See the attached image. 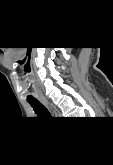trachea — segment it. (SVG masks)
I'll return each instance as SVG.
<instances>
[{"label":"trachea","instance_id":"obj_1","mask_svg":"<svg viewBox=\"0 0 113 165\" xmlns=\"http://www.w3.org/2000/svg\"><path fill=\"white\" fill-rule=\"evenodd\" d=\"M30 105L33 107L34 111L40 117H49L50 113L45 106H43L37 100H29Z\"/></svg>","mask_w":113,"mask_h":165}]
</instances>
